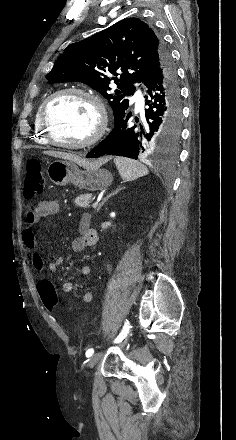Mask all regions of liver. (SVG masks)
I'll list each match as a JSON object with an SVG mask.
<instances>
[{"mask_svg":"<svg viewBox=\"0 0 236 440\" xmlns=\"http://www.w3.org/2000/svg\"><path fill=\"white\" fill-rule=\"evenodd\" d=\"M44 153L49 156L74 161L83 167H100L102 164H104L106 161H108V158H101L97 161L89 162V161H86L85 159H82L81 157H79L73 153H65V152H59V151H45Z\"/></svg>","mask_w":236,"mask_h":440,"instance_id":"liver-1","label":"liver"}]
</instances>
